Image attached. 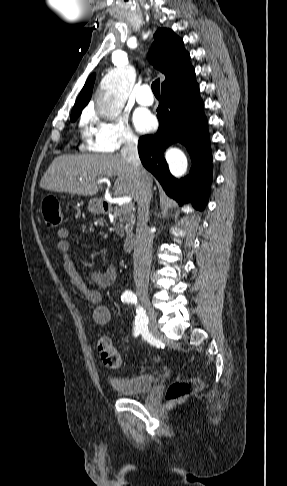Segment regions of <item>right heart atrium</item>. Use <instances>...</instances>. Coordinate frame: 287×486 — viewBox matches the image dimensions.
Segmentation results:
<instances>
[{"mask_svg": "<svg viewBox=\"0 0 287 486\" xmlns=\"http://www.w3.org/2000/svg\"><path fill=\"white\" fill-rule=\"evenodd\" d=\"M82 124L86 130L84 148L88 151L114 153L137 145V137L123 117L106 120L90 109L83 114Z\"/></svg>", "mask_w": 287, "mask_h": 486, "instance_id": "obj_1", "label": "right heart atrium"}]
</instances>
